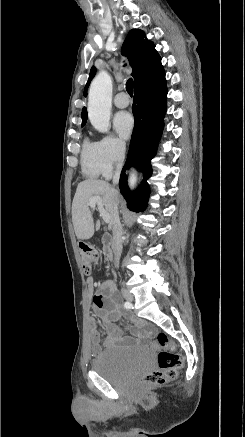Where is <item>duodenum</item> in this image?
<instances>
[{"label":"duodenum","mask_w":245,"mask_h":437,"mask_svg":"<svg viewBox=\"0 0 245 437\" xmlns=\"http://www.w3.org/2000/svg\"><path fill=\"white\" fill-rule=\"evenodd\" d=\"M111 236L109 234H105L103 236V254L105 258L110 261L113 258V252L111 249Z\"/></svg>","instance_id":"1"}]
</instances>
